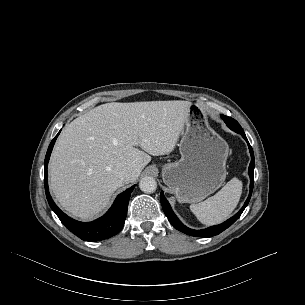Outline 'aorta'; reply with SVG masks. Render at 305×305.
I'll return each instance as SVG.
<instances>
[{
	"label": "aorta",
	"mask_w": 305,
	"mask_h": 305,
	"mask_svg": "<svg viewBox=\"0 0 305 305\" xmlns=\"http://www.w3.org/2000/svg\"><path fill=\"white\" fill-rule=\"evenodd\" d=\"M139 187L145 193H153L157 188V182L153 177L145 176L140 180Z\"/></svg>",
	"instance_id": "aorta-1"
}]
</instances>
